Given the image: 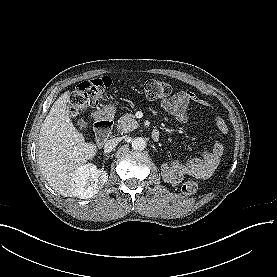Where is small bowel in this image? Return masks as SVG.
<instances>
[{"label":"small bowel","mask_w":277,"mask_h":277,"mask_svg":"<svg viewBox=\"0 0 277 277\" xmlns=\"http://www.w3.org/2000/svg\"><path fill=\"white\" fill-rule=\"evenodd\" d=\"M190 104L210 108V104L207 101L199 98L193 92L187 90L179 91L171 98L165 99L161 102L162 108L180 122L187 120V111ZM215 123L220 132L226 133L228 131V126L223 119L217 117ZM222 154L223 145L216 143L213 146L212 153L210 156H207L206 160L189 159L185 161L180 167L183 173L186 175L207 177L219 164ZM173 165H177V163L173 162Z\"/></svg>","instance_id":"small-bowel-1"}]
</instances>
